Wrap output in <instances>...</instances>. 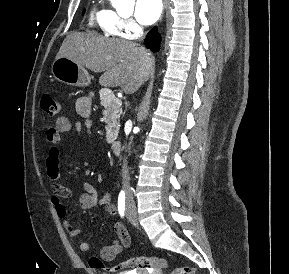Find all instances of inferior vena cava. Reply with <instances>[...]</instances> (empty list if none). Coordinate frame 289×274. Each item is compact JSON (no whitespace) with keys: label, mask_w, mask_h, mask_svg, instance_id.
Segmentation results:
<instances>
[{"label":"inferior vena cava","mask_w":289,"mask_h":274,"mask_svg":"<svg viewBox=\"0 0 289 274\" xmlns=\"http://www.w3.org/2000/svg\"><path fill=\"white\" fill-rule=\"evenodd\" d=\"M141 34H143V31L141 30L140 32ZM122 177H123V188L126 191V194H130V185H129V176H128V168H127V161L124 160L123 162V166H122Z\"/></svg>","instance_id":"obj_1"}]
</instances>
